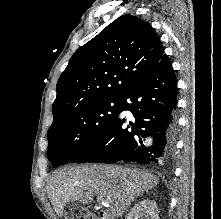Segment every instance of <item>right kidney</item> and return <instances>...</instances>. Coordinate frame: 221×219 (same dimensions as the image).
<instances>
[{"label":"right kidney","instance_id":"obj_1","mask_svg":"<svg viewBox=\"0 0 221 219\" xmlns=\"http://www.w3.org/2000/svg\"><path fill=\"white\" fill-rule=\"evenodd\" d=\"M158 213L156 202L145 199L135 204L125 219H159Z\"/></svg>","mask_w":221,"mask_h":219}]
</instances>
